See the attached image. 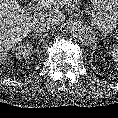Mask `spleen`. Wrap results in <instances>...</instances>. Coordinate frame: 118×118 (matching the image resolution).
Segmentation results:
<instances>
[{
  "mask_svg": "<svg viewBox=\"0 0 118 118\" xmlns=\"http://www.w3.org/2000/svg\"><path fill=\"white\" fill-rule=\"evenodd\" d=\"M111 53L113 60L118 64V44L113 46Z\"/></svg>",
  "mask_w": 118,
  "mask_h": 118,
  "instance_id": "3e777b00",
  "label": "spleen"
}]
</instances>
